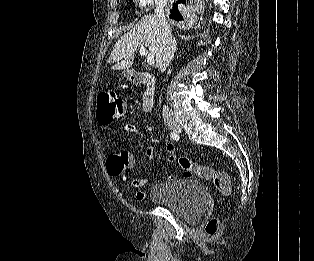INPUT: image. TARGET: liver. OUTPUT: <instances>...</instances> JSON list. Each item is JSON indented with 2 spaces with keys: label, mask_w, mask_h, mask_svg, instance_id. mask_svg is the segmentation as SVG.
Listing matches in <instances>:
<instances>
[{
  "label": "liver",
  "mask_w": 314,
  "mask_h": 261,
  "mask_svg": "<svg viewBox=\"0 0 314 261\" xmlns=\"http://www.w3.org/2000/svg\"><path fill=\"white\" fill-rule=\"evenodd\" d=\"M147 47L154 56L155 66L161 64L164 37L156 15H145L135 27L116 42L109 57L113 70H126L133 65L134 53L141 47Z\"/></svg>",
  "instance_id": "1"
}]
</instances>
